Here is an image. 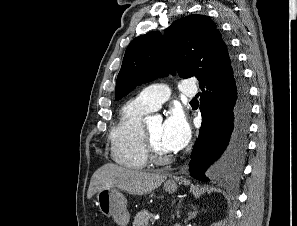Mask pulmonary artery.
I'll list each match as a JSON object with an SVG mask.
<instances>
[{
  "mask_svg": "<svg viewBox=\"0 0 297 226\" xmlns=\"http://www.w3.org/2000/svg\"><path fill=\"white\" fill-rule=\"evenodd\" d=\"M183 96L193 98L197 93V87L193 79H185L180 86ZM170 97V89L166 85L156 84L144 88L137 96L151 111L157 110Z\"/></svg>",
  "mask_w": 297,
  "mask_h": 226,
  "instance_id": "e3ab8cb5",
  "label": "pulmonary artery"
}]
</instances>
